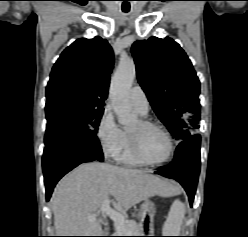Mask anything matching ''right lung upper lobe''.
<instances>
[{
	"label": "right lung upper lobe",
	"instance_id": "right-lung-upper-lobe-1",
	"mask_svg": "<svg viewBox=\"0 0 248 237\" xmlns=\"http://www.w3.org/2000/svg\"><path fill=\"white\" fill-rule=\"evenodd\" d=\"M113 64V51L106 40L98 36L76 40L53 66L46 88L47 102L76 98L104 103Z\"/></svg>",
	"mask_w": 248,
	"mask_h": 237
}]
</instances>
